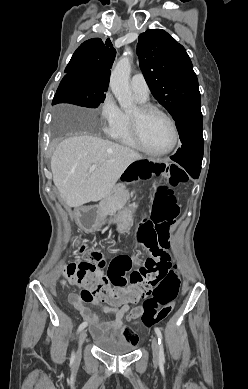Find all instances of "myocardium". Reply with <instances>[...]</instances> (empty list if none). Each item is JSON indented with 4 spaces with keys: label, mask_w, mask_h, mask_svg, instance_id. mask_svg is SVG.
Wrapping results in <instances>:
<instances>
[{
    "label": "myocardium",
    "mask_w": 248,
    "mask_h": 389,
    "mask_svg": "<svg viewBox=\"0 0 248 389\" xmlns=\"http://www.w3.org/2000/svg\"><path fill=\"white\" fill-rule=\"evenodd\" d=\"M151 113H158L162 115L170 124L172 128V142L171 145L161 151H154L147 147V145L144 143L142 134H141V123L144 117ZM130 124H131V133L140 147L141 150H143L145 153L152 155V156H164L172 152L175 147L177 146L178 139H179V133L178 128L176 125L175 120L162 108L150 104V103H142L137 107V112L135 114H130Z\"/></svg>",
    "instance_id": "f54148a6"
}]
</instances>
